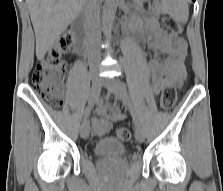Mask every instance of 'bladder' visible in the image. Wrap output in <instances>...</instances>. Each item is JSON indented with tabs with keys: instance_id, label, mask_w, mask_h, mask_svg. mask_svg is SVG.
I'll use <instances>...</instances> for the list:
<instances>
[{
	"instance_id": "bladder-1",
	"label": "bladder",
	"mask_w": 223,
	"mask_h": 191,
	"mask_svg": "<svg viewBox=\"0 0 223 191\" xmlns=\"http://www.w3.org/2000/svg\"><path fill=\"white\" fill-rule=\"evenodd\" d=\"M94 154L98 158L121 159L126 156L127 149L123 141L115 137H104L96 143Z\"/></svg>"
}]
</instances>
